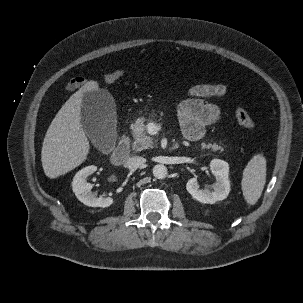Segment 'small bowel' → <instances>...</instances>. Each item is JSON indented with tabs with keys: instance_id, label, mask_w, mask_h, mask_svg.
Segmentation results:
<instances>
[{
	"instance_id": "c3829d8e",
	"label": "small bowel",
	"mask_w": 303,
	"mask_h": 303,
	"mask_svg": "<svg viewBox=\"0 0 303 303\" xmlns=\"http://www.w3.org/2000/svg\"><path fill=\"white\" fill-rule=\"evenodd\" d=\"M166 78V73H161ZM83 77H73L67 84L68 91H74L86 84ZM227 93V87L223 84L195 85L188 89L187 96L180 102L177 115L183 138L189 141H197L204 137L206 129L217 124L222 118L219 106L207 101L210 98H220Z\"/></svg>"
}]
</instances>
